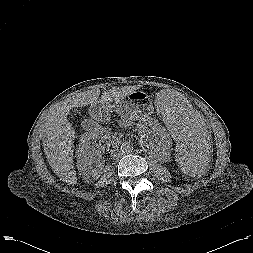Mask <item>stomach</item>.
<instances>
[{
  "label": "stomach",
  "mask_w": 253,
  "mask_h": 253,
  "mask_svg": "<svg viewBox=\"0 0 253 253\" xmlns=\"http://www.w3.org/2000/svg\"><path fill=\"white\" fill-rule=\"evenodd\" d=\"M158 93L156 98L158 97ZM156 100V99H155ZM154 104L143 91H134L114 104H100L105 112L114 110L119 116L132 121H140L153 113Z\"/></svg>",
  "instance_id": "0dacf381"
}]
</instances>
